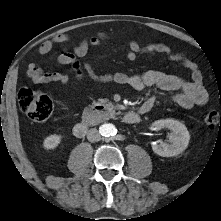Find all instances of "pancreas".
Instances as JSON below:
<instances>
[{
	"mask_svg": "<svg viewBox=\"0 0 221 221\" xmlns=\"http://www.w3.org/2000/svg\"><path fill=\"white\" fill-rule=\"evenodd\" d=\"M104 102H108V100H104ZM116 112H115V108L113 105L109 104V114L107 117H98V116H95V117H89L87 115H84L83 116V119L84 121H86L87 123L89 124H97V123H100L102 122L103 120H106L108 118H113L115 116Z\"/></svg>",
	"mask_w": 221,
	"mask_h": 221,
	"instance_id": "pancreas-1",
	"label": "pancreas"
}]
</instances>
